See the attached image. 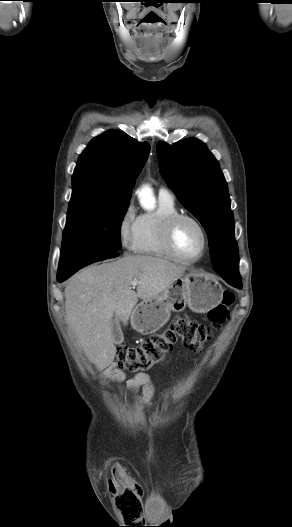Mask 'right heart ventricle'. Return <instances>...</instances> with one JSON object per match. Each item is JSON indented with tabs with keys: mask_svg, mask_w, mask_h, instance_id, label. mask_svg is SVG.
Returning a JSON list of instances; mask_svg holds the SVG:
<instances>
[{
	"mask_svg": "<svg viewBox=\"0 0 292 527\" xmlns=\"http://www.w3.org/2000/svg\"><path fill=\"white\" fill-rule=\"evenodd\" d=\"M178 212V207L172 197L159 195L156 210L143 213L138 217L133 251L138 254L173 258L163 245L162 229L165 220Z\"/></svg>",
	"mask_w": 292,
	"mask_h": 527,
	"instance_id": "obj_1",
	"label": "right heart ventricle"
}]
</instances>
